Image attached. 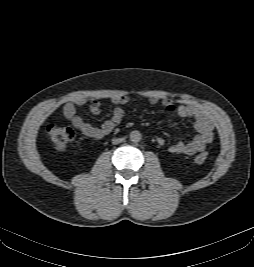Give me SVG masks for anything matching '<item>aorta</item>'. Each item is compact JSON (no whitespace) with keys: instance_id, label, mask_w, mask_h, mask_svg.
Listing matches in <instances>:
<instances>
[{"instance_id":"762f6f07","label":"aorta","mask_w":254,"mask_h":267,"mask_svg":"<svg viewBox=\"0 0 254 267\" xmlns=\"http://www.w3.org/2000/svg\"><path fill=\"white\" fill-rule=\"evenodd\" d=\"M142 139V135L139 131L137 130H134L130 133V140L133 142V143H137L139 142L140 140Z\"/></svg>"}]
</instances>
